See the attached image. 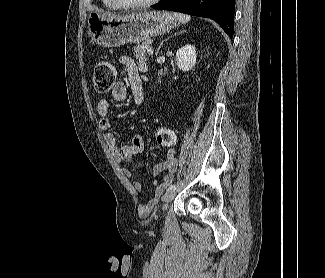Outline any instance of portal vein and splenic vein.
Returning a JSON list of instances; mask_svg holds the SVG:
<instances>
[{
  "instance_id": "18ae733b",
  "label": "portal vein and splenic vein",
  "mask_w": 325,
  "mask_h": 278,
  "mask_svg": "<svg viewBox=\"0 0 325 278\" xmlns=\"http://www.w3.org/2000/svg\"><path fill=\"white\" fill-rule=\"evenodd\" d=\"M147 53H148L149 55H152V54H153V49L150 47V48L147 50Z\"/></svg>"
}]
</instances>
